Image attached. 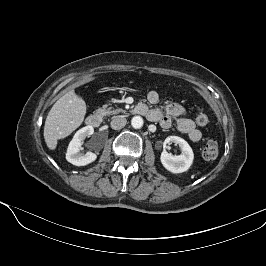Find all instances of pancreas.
<instances>
[{
	"instance_id": "pancreas-1",
	"label": "pancreas",
	"mask_w": 266,
	"mask_h": 266,
	"mask_svg": "<svg viewBox=\"0 0 266 266\" xmlns=\"http://www.w3.org/2000/svg\"><path fill=\"white\" fill-rule=\"evenodd\" d=\"M120 112H124L123 109L121 108H112V107H107L106 105H104L102 108H99L96 110V113L105 117V116H110V115H115L118 114Z\"/></svg>"
}]
</instances>
